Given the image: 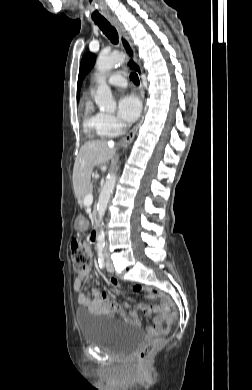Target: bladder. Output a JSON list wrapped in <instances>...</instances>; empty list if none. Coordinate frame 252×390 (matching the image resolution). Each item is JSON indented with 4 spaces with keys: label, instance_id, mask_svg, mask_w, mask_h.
Returning a JSON list of instances; mask_svg holds the SVG:
<instances>
[{
    "label": "bladder",
    "instance_id": "1",
    "mask_svg": "<svg viewBox=\"0 0 252 390\" xmlns=\"http://www.w3.org/2000/svg\"><path fill=\"white\" fill-rule=\"evenodd\" d=\"M83 341L115 354H124L144 340L137 327L100 315L77 313Z\"/></svg>",
    "mask_w": 252,
    "mask_h": 390
}]
</instances>
